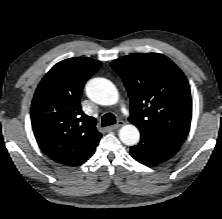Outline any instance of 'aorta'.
<instances>
[{"label": "aorta", "mask_w": 222, "mask_h": 219, "mask_svg": "<svg viewBox=\"0 0 222 219\" xmlns=\"http://www.w3.org/2000/svg\"><path fill=\"white\" fill-rule=\"evenodd\" d=\"M86 94L94 102L100 105H113L118 102L119 94L115 85L105 78H93L86 85ZM120 140L127 146L136 145L140 139V133L136 126L124 125L119 130Z\"/></svg>", "instance_id": "1"}]
</instances>
